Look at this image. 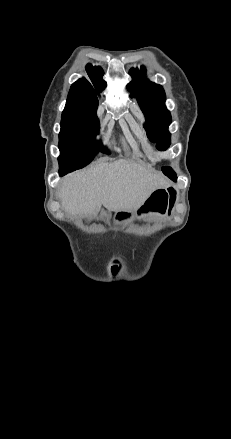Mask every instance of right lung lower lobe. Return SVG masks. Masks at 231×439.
<instances>
[{
    "label": "right lung lower lobe",
    "mask_w": 231,
    "mask_h": 439,
    "mask_svg": "<svg viewBox=\"0 0 231 439\" xmlns=\"http://www.w3.org/2000/svg\"><path fill=\"white\" fill-rule=\"evenodd\" d=\"M68 172H71V170L70 169H60V171H59L61 176L65 175Z\"/></svg>",
    "instance_id": "right-lung-lower-lobe-1"
}]
</instances>
